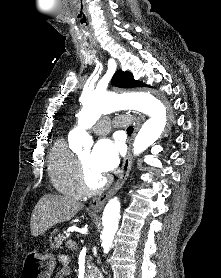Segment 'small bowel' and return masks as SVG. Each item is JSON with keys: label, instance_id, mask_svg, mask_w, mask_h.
Wrapping results in <instances>:
<instances>
[{"label": "small bowel", "instance_id": "1", "mask_svg": "<svg viewBox=\"0 0 221 278\" xmlns=\"http://www.w3.org/2000/svg\"><path fill=\"white\" fill-rule=\"evenodd\" d=\"M67 275H69V269L67 267H63L54 278H65Z\"/></svg>", "mask_w": 221, "mask_h": 278}]
</instances>
